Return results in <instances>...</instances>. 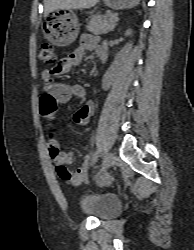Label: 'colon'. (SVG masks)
<instances>
[{
	"instance_id": "colon-1",
	"label": "colon",
	"mask_w": 194,
	"mask_h": 250,
	"mask_svg": "<svg viewBox=\"0 0 194 250\" xmlns=\"http://www.w3.org/2000/svg\"><path fill=\"white\" fill-rule=\"evenodd\" d=\"M39 58L42 63L54 66L57 62V56L54 46L51 44H44L39 51ZM41 112L43 117L53 118L57 113V103L55 98L48 92L44 93L41 97ZM58 173L63 177L69 178L70 174L65 167L57 168Z\"/></svg>"
}]
</instances>
